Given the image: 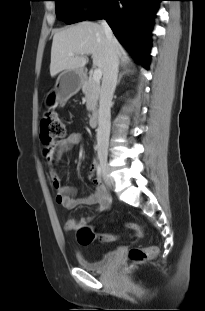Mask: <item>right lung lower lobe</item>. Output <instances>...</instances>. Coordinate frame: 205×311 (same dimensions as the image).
Wrapping results in <instances>:
<instances>
[{
	"mask_svg": "<svg viewBox=\"0 0 205 311\" xmlns=\"http://www.w3.org/2000/svg\"><path fill=\"white\" fill-rule=\"evenodd\" d=\"M161 0H103L84 20H107L115 36L134 58L148 69L152 18Z\"/></svg>",
	"mask_w": 205,
	"mask_h": 311,
	"instance_id": "right-lung-lower-lobe-1",
	"label": "right lung lower lobe"
}]
</instances>
